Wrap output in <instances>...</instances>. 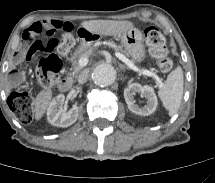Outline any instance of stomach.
<instances>
[{
  "label": "stomach",
  "mask_w": 215,
  "mask_h": 183,
  "mask_svg": "<svg viewBox=\"0 0 215 183\" xmlns=\"http://www.w3.org/2000/svg\"><path fill=\"white\" fill-rule=\"evenodd\" d=\"M117 37L121 40L126 52L132 57L134 61L140 63L145 59L146 51L143 44V35L139 29L132 27L128 31L117 35ZM96 41H98V39H92L88 41L83 39L77 51H85Z\"/></svg>",
  "instance_id": "stomach-1"
}]
</instances>
